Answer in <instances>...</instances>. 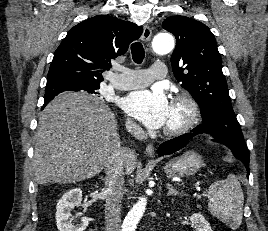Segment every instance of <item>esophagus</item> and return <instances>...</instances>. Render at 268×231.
<instances>
[{
  "mask_svg": "<svg viewBox=\"0 0 268 231\" xmlns=\"http://www.w3.org/2000/svg\"><path fill=\"white\" fill-rule=\"evenodd\" d=\"M151 30L147 25L143 27L142 40L148 42L151 38ZM145 154L148 157H153L155 154V148L152 144H148L145 148Z\"/></svg>",
  "mask_w": 268,
  "mask_h": 231,
  "instance_id": "esophagus-1",
  "label": "esophagus"
}]
</instances>
